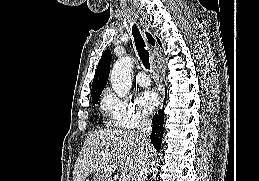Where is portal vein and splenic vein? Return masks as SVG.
I'll list each match as a JSON object with an SVG mask.
<instances>
[{
	"instance_id": "18ae733b",
	"label": "portal vein and splenic vein",
	"mask_w": 259,
	"mask_h": 181,
	"mask_svg": "<svg viewBox=\"0 0 259 181\" xmlns=\"http://www.w3.org/2000/svg\"><path fill=\"white\" fill-rule=\"evenodd\" d=\"M119 181H130V177L128 174H121Z\"/></svg>"
}]
</instances>
